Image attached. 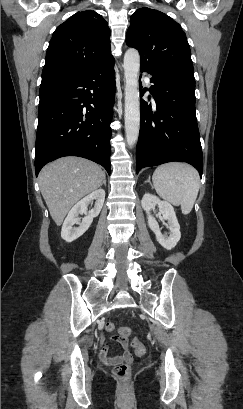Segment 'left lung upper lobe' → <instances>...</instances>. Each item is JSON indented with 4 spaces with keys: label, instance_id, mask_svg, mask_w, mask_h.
Returning <instances> with one entry per match:
<instances>
[{
    "label": "left lung upper lobe",
    "instance_id": "left-lung-upper-lobe-1",
    "mask_svg": "<svg viewBox=\"0 0 243 409\" xmlns=\"http://www.w3.org/2000/svg\"><path fill=\"white\" fill-rule=\"evenodd\" d=\"M126 43L139 51L142 72L152 75L176 67L193 69L184 31L160 11L150 8L136 10L130 18Z\"/></svg>",
    "mask_w": 243,
    "mask_h": 409
}]
</instances>
